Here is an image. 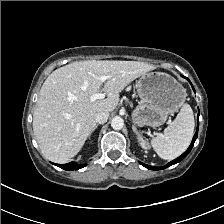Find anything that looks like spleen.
Instances as JSON below:
<instances>
[{
  "label": "spleen",
  "instance_id": "3e777b00",
  "mask_svg": "<svg viewBox=\"0 0 224 224\" xmlns=\"http://www.w3.org/2000/svg\"><path fill=\"white\" fill-rule=\"evenodd\" d=\"M194 115L189 104H184L175 120L164 132L151 140L155 152L165 160H173L186 151L194 134Z\"/></svg>",
  "mask_w": 224,
  "mask_h": 224
}]
</instances>
